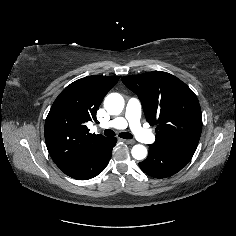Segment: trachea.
<instances>
[{
    "instance_id": "trachea-1",
    "label": "trachea",
    "mask_w": 236,
    "mask_h": 236,
    "mask_svg": "<svg viewBox=\"0 0 236 236\" xmlns=\"http://www.w3.org/2000/svg\"><path fill=\"white\" fill-rule=\"evenodd\" d=\"M104 135L105 136H115V132L111 129H106L104 131ZM119 137H121L123 139H131V138H133V135L128 132H122L119 134Z\"/></svg>"
}]
</instances>
